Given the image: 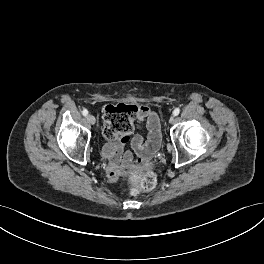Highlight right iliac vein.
I'll return each instance as SVG.
<instances>
[{
  "instance_id": "right-iliac-vein-1",
  "label": "right iliac vein",
  "mask_w": 264,
  "mask_h": 264,
  "mask_svg": "<svg viewBox=\"0 0 264 264\" xmlns=\"http://www.w3.org/2000/svg\"><path fill=\"white\" fill-rule=\"evenodd\" d=\"M86 118H87V121H88L90 124H92V125L95 124L96 119H95V117H94L93 115L89 114V115H87Z\"/></svg>"
}]
</instances>
